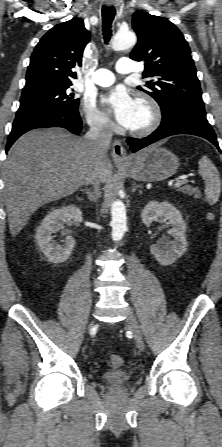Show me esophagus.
Returning <instances> with one entry per match:
<instances>
[{"mask_svg": "<svg viewBox=\"0 0 222 447\" xmlns=\"http://www.w3.org/2000/svg\"><path fill=\"white\" fill-rule=\"evenodd\" d=\"M108 6H112L114 4V0H105ZM112 157L115 163L122 164L127 159V152L123 147L120 140H115L112 145Z\"/></svg>", "mask_w": 222, "mask_h": 447, "instance_id": "1", "label": "esophagus"}]
</instances>
